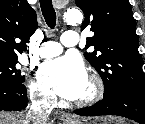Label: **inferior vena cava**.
Listing matches in <instances>:
<instances>
[{
  "label": "inferior vena cava",
  "mask_w": 145,
  "mask_h": 124,
  "mask_svg": "<svg viewBox=\"0 0 145 124\" xmlns=\"http://www.w3.org/2000/svg\"><path fill=\"white\" fill-rule=\"evenodd\" d=\"M35 107L27 114L25 124H46L48 119V111L45 101H34Z\"/></svg>",
  "instance_id": "1"
}]
</instances>
